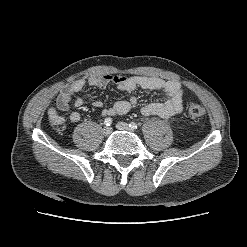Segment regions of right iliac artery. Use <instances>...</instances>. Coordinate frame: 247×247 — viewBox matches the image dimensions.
<instances>
[{"label":"right iliac artery","mask_w":247,"mask_h":247,"mask_svg":"<svg viewBox=\"0 0 247 247\" xmlns=\"http://www.w3.org/2000/svg\"><path fill=\"white\" fill-rule=\"evenodd\" d=\"M104 124L106 126H110L112 124V119L110 117L106 118L105 121H104Z\"/></svg>","instance_id":"82829eb1"}]
</instances>
